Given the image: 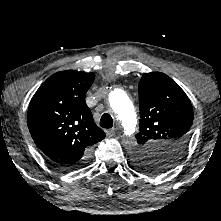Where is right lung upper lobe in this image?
Returning a JSON list of instances; mask_svg holds the SVG:
<instances>
[{
	"instance_id": "1",
	"label": "right lung upper lobe",
	"mask_w": 221,
	"mask_h": 221,
	"mask_svg": "<svg viewBox=\"0 0 221 221\" xmlns=\"http://www.w3.org/2000/svg\"><path fill=\"white\" fill-rule=\"evenodd\" d=\"M94 78V73L58 72L31 99L29 131L53 163L73 164L87 159L91 146L105 138L85 102Z\"/></svg>"
}]
</instances>
